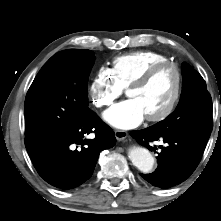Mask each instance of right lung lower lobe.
I'll return each instance as SVG.
<instances>
[{"instance_id": "98d812e1", "label": "right lung lower lobe", "mask_w": 221, "mask_h": 221, "mask_svg": "<svg viewBox=\"0 0 221 221\" xmlns=\"http://www.w3.org/2000/svg\"><path fill=\"white\" fill-rule=\"evenodd\" d=\"M95 133L94 139H84ZM114 132L91 112L71 133L25 138L28 154L39 175L50 185L67 190L88 180L99 153L115 145Z\"/></svg>"}]
</instances>
